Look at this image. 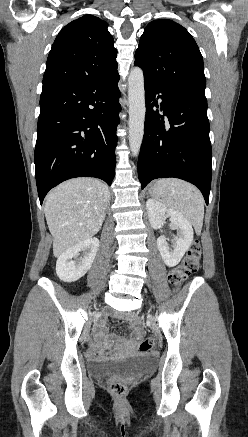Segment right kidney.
<instances>
[{
	"label": "right kidney",
	"mask_w": 248,
	"mask_h": 437,
	"mask_svg": "<svg viewBox=\"0 0 248 437\" xmlns=\"http://www.w3.org/2000/svg\"><path fill=\"white\" fill-rule=\"evenodd\" d=\"M99 248V240L90 238L84 240L63 252L56 262V273L64 282H75L83 277L91 268ZM83 257L77 259L79 253ZM75 260H72V259Z\"/></svg>",
	"instance_id": "1"
}]
</instances>
